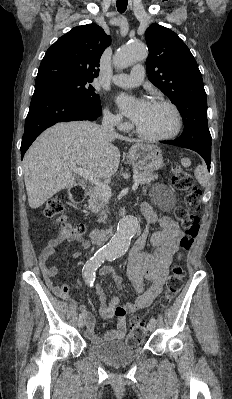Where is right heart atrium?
<instances>
[{
	"mask_svg": "<svg viewBox=\"0 0 232 399\" xmlns=\"http://www.w3.org/2000/svg\"><path fill=\"white\" fill-rule=\"evenodd\" d=\"M105 119L107 122H117L118 125H122L121 117L117 114H113L109 111L105 112Z\"/></svg>",
	"mask_w": 232,
	"mask_h": 399,
	"instance_id": "right-heart-atrium-1",
	"label": "right heart atrium"
}]
</instances>
